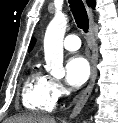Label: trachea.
I'll use <instances>...</instances> for the list:
<instances>
[{"label":"trachea","instance_id":"trachea-1","mask_svg":"<svg viewBox=\"0 0 118 123\" xmlns=\"http://www.w3.org/2000/svg\"><path fill=\"white\" fill-rule=\"evenodd\" d=\"M69 4L77 26L84 32H88L89 19L82 0H69Z\"/></svg>","mask_w":118,"mask_h":123}]
</instances>
